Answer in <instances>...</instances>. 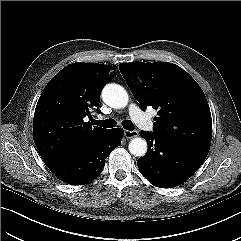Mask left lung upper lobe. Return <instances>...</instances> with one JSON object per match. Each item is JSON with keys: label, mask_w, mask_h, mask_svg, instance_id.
<instances>
[{"label": "left lung upper lobe", "mask_w": 241, "mask_h": 241, "mask_svg": "<svg viewBox=\"0 0 241 241\" xmlns=\"http://www.w3.org/2000/svg\"><path fill=\"white\" fill-rule=\"evenodd\" d=\"M119 69L144 110H158L154 134L209 150L212 119L207 99L197 82L172 63H121Z\"/></svg>", "instance_id": "left-lung-upper-lobe-1"}]
</instances>
